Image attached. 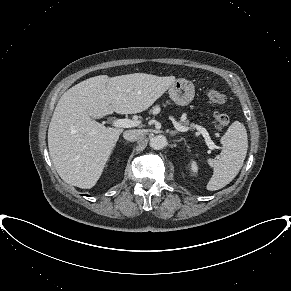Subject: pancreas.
<instances>
[{
  "label": "pancreas",
  "mask_w": 291,
  "mask_h": 291,
  "mask_svg": "<svg viewBox=\"0 0 291 291\" xmlns=\"http://www.w3.org/2000/svg\"><path fill=\"white\" fill-rule=\"evenodd\" d=\"M156 107H154L153 109H155ZM182 124L184 125H189L190 122L188 120H184V121H181ZM193 125V124H192Z\"/></svg>",
  "instance_id": "obj_1"
}]
</instances>
